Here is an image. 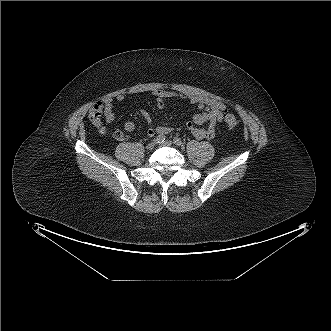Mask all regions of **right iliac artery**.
<instances>
[{
  "instance_id": "obj_1",
  "label": "right iliac artery",
  "mask_w": 331,
  "mask_h": 331,
  "mask_svg": "<svg viewBox=\"0 0 331 331\" xmlns=\"http://www.w3.org/2000/svg\"><path fill=\"white\" fill-rule=\"evenodd\" d=\"M165 139H166L165 136H163V135H159V136H157V137L155 138L154 141H155L156 143H162V142L165 141Z\"/></svg>"
}]
</instances>
